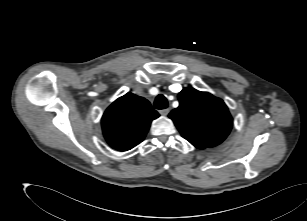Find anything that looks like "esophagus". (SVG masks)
Instances as JSON below:
<instances>
[{
	"instance_id": "esophagus-1",
	"label": "esophagus",
	"mask_w": 307,
	"mask_h": 221,
	"mask_svg": "<svg viewBox=\"0 0 307 221\" xmlns=\"http://www.w3.org/2000/svg\"><path fill=\"white\" fill-rule=\"evenodd\" d=\"M170 112V109L169 108H166V109H162L159 111V113L162 115V116H167Z\"/></svg>"
}]
</instances>
